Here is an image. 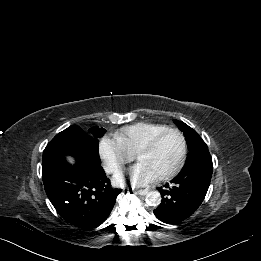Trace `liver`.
<instances>
[{"instance_id":"obj_1","label":"liver","mask_w":261,"mask_h":261,"mask_svg":"<svg viewBox=\"0 0 261 261\" xmlns=\"http://www.w3.org/2000/svg\"><path fill=\"white\" fill-rule=\"evenodd\" d=\"M67 159H68V161H69L70 163H73V162H74L71 157H67Z\"/></svg>"}]
</instances>
